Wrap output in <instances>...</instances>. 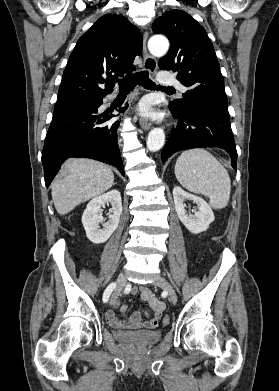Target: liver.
<instances>
[{
    "mask_svg": "<svg viewBox=\"0 0 279 391\" xmlns=\"http://www.w3.org/2000/svg\"><path fill=\"white\" fill-rule=\"evenodd\" d=\"M113 184L114 174L107 165L92 159H68L52 184L54 206L60 215H65Z\"/></svg>",
    "mask_w": 279,
    "mask_h": 391,
    "instance_id": "1",
    "label": "liver"
}]
</instances>
